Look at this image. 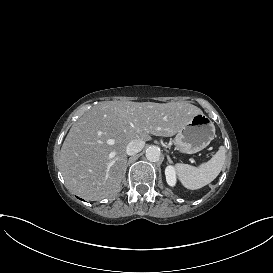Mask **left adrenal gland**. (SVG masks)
<instances>
[{
    "label": "left adrenal gland",
    "mask_w": 273,
    "mask_h": 273,
    "mask_svg": "<svg viewBox=\"0 0 273 273\" xmlns=\"http://www.w3.org/2000/svg\"><path fill=\"white\" fill-rule=\"evenodd\" d=\"M167 160H168L169 163H172V160H171L169 155H167Z\"/></svg>",
    "instance_id": "left-adrenal-gland-1"
}]
</instances>
